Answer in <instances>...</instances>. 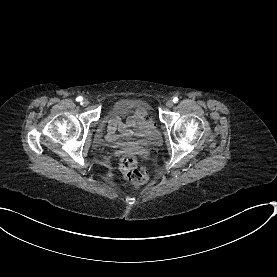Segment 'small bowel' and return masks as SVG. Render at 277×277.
Listing matches in <instances>:
<instances>
[{"label": "small bowel", "mask_w": 277, "mask_h": 277, "mask_svg": "<svg viewBox=\"0 0 277 277\" xmlns=\"http://www.w3.org/2000/svg\"><path fill=\"white\" fill-rule=\"evenodd\" d=\"M120 127L122 131H129L131 129H143V130H153L154 124L150 118L149 113L141 109L136 114L128 118L124 123L120 122V119L117 117L111 118L108 120V135L107 138L109 141L114 139V131L117 127Z\"/></svg>", "instance_id": "c3829d8e"}]
</instances>
